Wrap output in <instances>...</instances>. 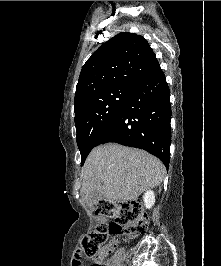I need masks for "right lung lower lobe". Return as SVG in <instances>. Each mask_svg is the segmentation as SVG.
<instances>
[{
	"label": "right lung lower lobe",
	"instance_id": "1",
	"mask_svg": "<svg viewBox=\"0 0 221 266\" xmlns=\"http://www.w3.org/2000/svg\"><path fill=\"white\" fill-rule=\"evenodd\" d=\"M170 120V90L159 68L135 85L121 112L99 136L96 146L115 142L144 149L168 167Z\"/></svg>",
	"mask_w": 221,
	"mask_h": 266
}]
</instances>
